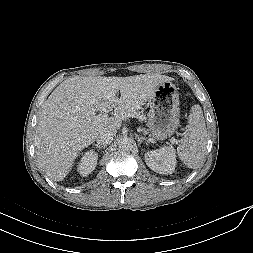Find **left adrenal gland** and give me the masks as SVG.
Segmentation results:
<instances>
[{"label": "left adrenal gland", "mask_w": 253, "mask_h": 253, "mask_svg": "<svg viewBox=\"0 0 253 253\" xmlns=\"http://www.w3.org/2000/svg\"><path fill=\"white\" fill-rule=\"evenodd\" d=\"M136 137H137V141H138L139 144H141L145 140L144 137H140L138 135Z\"/></svg>", "instance_id": "obj_1"}]
</instances>
